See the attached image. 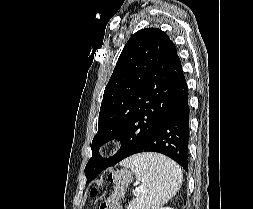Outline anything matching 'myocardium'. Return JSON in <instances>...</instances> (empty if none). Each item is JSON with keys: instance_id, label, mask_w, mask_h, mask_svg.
I'll list each match as a JSON object with an SVG mask.
<instances>
[{"instance_id": "f54148a6", "label": "myocardium", "mask_w": 253, "mask_h": 209, "mask_svg": "<svg viewBox=\"0 0 253 209\" xmlns=\"http://www.w3.org/2000/svg\"><path fill=\"white\" fill-rule=\"evenodd\" d=\"M113 146H114L113 142H109L104 148V153L110 151L113 148Z\"/></svg>"}]
</instances>
